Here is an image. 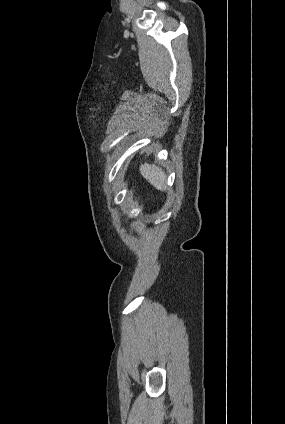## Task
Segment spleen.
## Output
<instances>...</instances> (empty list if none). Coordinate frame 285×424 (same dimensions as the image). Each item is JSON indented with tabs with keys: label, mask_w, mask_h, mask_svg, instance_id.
I'll return each instance as SVG.
<instances>
[{
	"label": "spleen",
	"mask_w": 285,
	"mask_h": 424,
	"mask_svg": "<svg viewBox=\"0 0 285 424\" xmlns=\"http://www.w3.org/2000/svg\"><path fill=\"white\" fill-rule=\"evenodd\" d=\"M142 176L157 190L164 191L166 189L167 177L159 167L155 165L142 164L140 166Z\"/></svg>",
	"instance_id": "spleen-1"
}]
</instances>
